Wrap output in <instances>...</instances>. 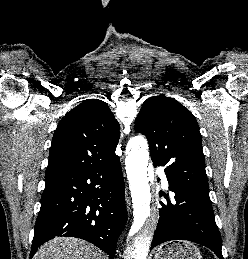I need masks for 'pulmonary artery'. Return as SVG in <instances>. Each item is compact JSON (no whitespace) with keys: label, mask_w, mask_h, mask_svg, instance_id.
<instances>
[{"label":"pulmonary artery","mask_w":248,"mask_h":259,"mask_svg":"<svg viewBox=\"0 0 248 259\" xmlns=\"http://www.w3.org/2000/svg\"><path fill=\"white\" fill-rule=\"evenodd\" d=\"M162 184L164 187H166V188L168 187V181L164 174L162 175Z\"/></svg>","instance_id":"e3ab8cb5"}]
</instances>
